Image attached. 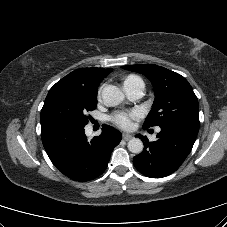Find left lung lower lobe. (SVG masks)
Returning <instances> with one entry per match:
<instances>
[{"mask_svg":"<svg viewBox=\"0 0 227 227\" xmlns=\"http://www.w3.org/2000/svg\"><path fill=\"white\" fill-rule=\"evenodd\" d=\"M160 128L156 141L140 137L144 150L133 158L136 169L151 178L165 177L180 167L193 147L199 125L169 123Z\"/></svg>","mask_w":227,"mask_h":227,"instance_id":"obj_1","label":"left lung lower lobe"}]
</instances>
